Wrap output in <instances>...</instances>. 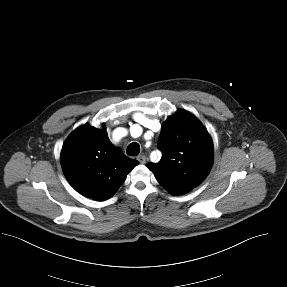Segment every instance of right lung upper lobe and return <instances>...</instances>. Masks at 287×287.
Listing matches in <instances>:
<instances>
[{"label":"right lung upper lobe","instance_id":"cb5924a9","mask_svg":"<svg viewBox=\"0 0 287 287\" xmlns=\"http://www.w3.org/2000/svg\"><path fill=\"white\" fill-rule=\"evenodd\" d=\"M85 124L66 139L61 166L69 183L97 201L112 197L138 161L125 156L110 142L106 129Z\"/></svg>","mask_w":287,"mask_h":287}]
</instances>
